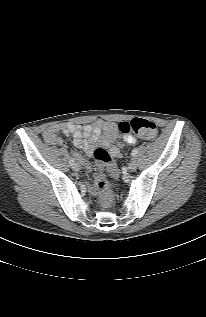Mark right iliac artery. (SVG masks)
I'll list each match as a JSON object with an SVG mask.
<instances>
[{
  "label": "right iliac artery",
  "mask_w": 206,
  "mask_h": 317,
  "mask_svg": "<svg viewBox=\"0 0 206 317\" xmlns=\"http://www.w3.org/2000/svg\"><path fill=\"white\" fill-rule=\"evenodd\" d=\"M69 163L71 166H73L75 164V160L73 158H70Z\"/></svg>",
  "instance_id": "1"
}]
</instances>
